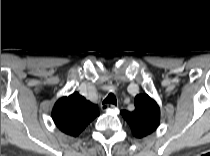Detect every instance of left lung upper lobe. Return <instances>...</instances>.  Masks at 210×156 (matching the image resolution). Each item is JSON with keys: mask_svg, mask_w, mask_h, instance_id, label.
<instances>
[{"mask_svg": "<svg viewBox=\"0 0 210 156\" xmlns=\"http://www.w3.org/2000/svg\"><path fill=\"white\" fill-rule=\"evenodd\" d=\"M134 104L133 112L124 110L121 114L132 128L134 136L142 138L157 129L160 122V109L147 94L137 95Z\"/></svg>", "mask_w": 210, "mask_h": 156, "instance_id": "left-lung-upper-lobe-1", "label": "left lung upper lobe"}]
</instances>
